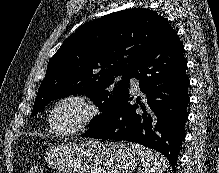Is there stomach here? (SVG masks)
<instances>
[{"label":"stomach","instance_id":"stomach-1","mask_svg":"<svg viewBox=\"0 0 219 173\" xmlns=\"http://www.w3.org/2000/svg\"><path fill=\"white\" fill-rule=\"evenodd\" d=\"M45 160L66 173H132L137 157L123 142H70L52 146Z\"/></svg>","mask_w":219,"mask_h":173}]
</instances>
